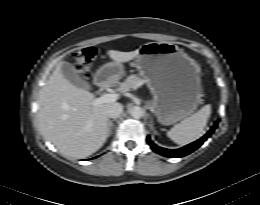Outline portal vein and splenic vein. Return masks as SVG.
Listing matches in <instances>:
<instances>
[{"instance_id":"obj_1","label":"portal vein and splenic vein","mask_w":260,"mask_h":205,"mask_svg":"<svg viewBox=\"0 0 260 205\" xmlns=\"http://www.w3.org/2000/svg\"><path fill=\"white\" fill-rule=\"evenodd\" d=\"M118 98H119V95L116 93H114V94L106 93V94H103L101 97L94 99L92 104H93V106H98L103 103L115 102L116 100H118Z\"/></svg>"}]
</instances>
